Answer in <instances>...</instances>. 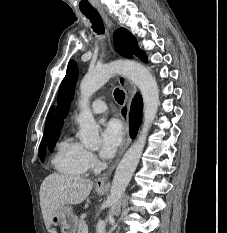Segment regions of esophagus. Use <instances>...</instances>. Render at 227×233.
Returning <instances> with one entry per match:
<instances>
[{"mask_svg": "<svg viewBox=\"0 0 227 233\" xmlns=\"http://www.w3.org/2000/svg\"><path fill=\"white\" fill-rule=\"evenodd\" d=\"M99 12H100L102 18L104 19L107 27L112 31V23H111L110 19L108 18V16L106 15V13L103 10H100ZM118 82L125 93V100H124V103L120 109V116H121L122 121H123V139H122V143H121V146L119 149L118 157H117L115 163L109 168V170L106 173L102 174L97 179V181H96L97 187H103V186L108 185L110 176H111L116 164L118 163L121 156L123 155V153L128 148V146L131 142V137L129 134V111H130L131 101H132L134 95L137 93V88L130 80H128L124 76H119Z\"/></svg>", "mask_w": 227, "mask_h": 233, "instance_id": "obj_1", "label": "esophagus"}]
</instances>
